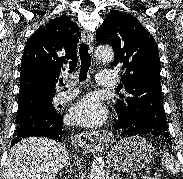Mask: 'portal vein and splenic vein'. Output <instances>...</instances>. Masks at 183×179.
<instances>
[{
	"instance_id": "obj_1",
	"label": "portal vein and splenic vein",
	"mask_w": 183,
	"mask_h": 179,
	"mask_svg": "<svg viewBox=\"0 0 183 179\" xmlns=\"http://www.w3.org/2000/svg\"><path fill=\"white\" fill-rule=\"evenodd\" d=\"M142 179H147V176H142Z\"/></svg>"
}]
</instances>
